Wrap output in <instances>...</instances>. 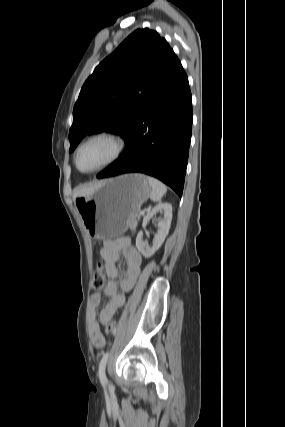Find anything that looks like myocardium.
Listing matches in <instances>:
<instances>
[{
	"label": "myocardium",
	"mask_w": 285,
	"mask_h": 427,
	"mask_svg": "<svg viewBox=\"0 0 285 427\" xmlns=\"http://www.w3.org/2000/svg\"><path fill=\"white\" fill-rule=\"evenodd\" d=\"M97 139H108V140L112 141L115 144V151H114L113 155L105 163H103L101 166L94 168L92 170L84 171L79 167V162H78L79 154H80V152L84 146H86L91 141H94ZM124 150H125V141L121 135H119L118 133L113 132V131H107V130L101 131V132H98V133H95V134L89 136L78 146L76 153H75V158H74L75 166L78 169V171L83 173V174L97 173V172L103 171V170L107 169L108 167H110L111 165H113L122 156Z\"/></svg>",
	"instance_id": "1"
}]
</instances>
